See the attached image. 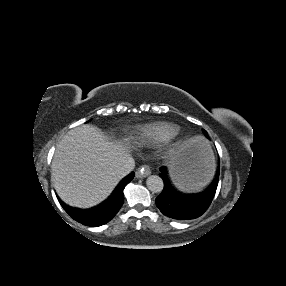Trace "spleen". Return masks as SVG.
<instances>
[{"label": "spleen", "instance_id": "1", "mask_svg": "<svg viewBox=\"0 0 286 286\" xmlns=\"http://www.w3.org/2000/svg\"><path fill=\"white\" fill-rule=\"evenodd\" d=\"M179 189L181 190H185V188L183 186H179Z\"/></svg>", "mask_w": 286, "mask_h": 286}]
</instances>
